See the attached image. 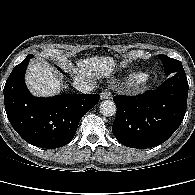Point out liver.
I'll list each match as a JSON object with an SVG mask.
<instances>
[{
	"label": "liver",
	"mask_w": 195,
	"mask_h": 195,
	"mask_svg": "<svg viewBox=\"0 0 195 195\" xmlns=\"http://www.w3.org/2000/svg\"><path fill=\"white\" fill-rule=\"evenodd\" d=\"M74 72V83L90 81L92 78H107L113 72L116 61L110 57L94 56L79 60ZM26 83L31 92L36 96H53L58 94L63 84L58 72L43 60H35L30 63L26 72Z\"/></svg>",
	"instance_id": "1"
}]
</instances>
